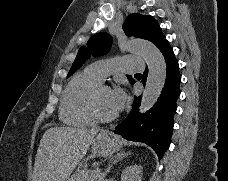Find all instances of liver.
Here are the masks:
<instances>
[{
  "mask_svg": "<svg viewBox=\"0 0 228 181\" xmlns=\"http://www.w3.org/2000/svg\"><path fill=\"white\" fill-rule=\"evenodd\" d=\"M97 133L99 129L87 127L47 129L35 157L32 181H67Z\"/></svg>",
  "mask_w": 228,
  "mask_h": 181,
  "instance_id": "6515ba94",
  "label": "liver"
}]
</instances>
